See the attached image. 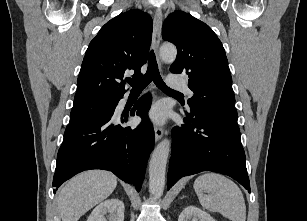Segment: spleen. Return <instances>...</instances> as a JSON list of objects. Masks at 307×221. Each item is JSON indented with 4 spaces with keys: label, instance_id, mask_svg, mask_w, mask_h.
<instances>
[{
    "label": "spleen",
    "instance_id": "1",
    "mask_svg": "<svg viewBox=\"0 0 307 221\" xmlns=\"http://www.w3.org/2000/svg\"><path fill=\"white\" fill-rule=\"evenodd\" d=\"M194 189L203 208L219 212L231 221L246 220L243 194L232 180L221 174L205 173L195 180Z\"/></svg>",
    "mask_w": 307,
    "mask_h": 221
}]
</instances>
